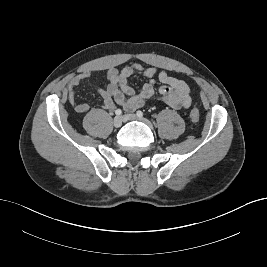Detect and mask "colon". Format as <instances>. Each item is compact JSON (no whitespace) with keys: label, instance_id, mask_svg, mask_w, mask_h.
<instances>
[{"label":"colon","instance_id":"1","mask_svg":"<svg viewBox=\"0 0 267 267\" xmlns=\"http://www.w3.org/2000/svg\"><path fill=\"white\" fill-rule=\"evenodd\" d=\"M190 118L194 123H197L200 120V114L196 108H193L190 111Z\"/></svg>","mask_w":267,"mask_h":267}]
</instances>
